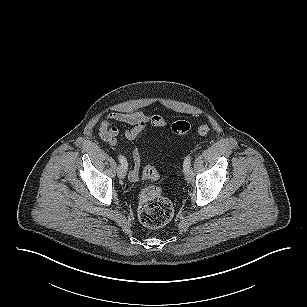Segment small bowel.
<instances>
[{
	"mask_svg": "<svg viewBox=\"0 0 307 307\" xmlns=\"http://www.w3.org/2000/svg\"><path fill=\"white\" fill-rule=\"evenodd\" d=\"M126 124L130 128L124 131L127 140L136 139L146 128L148 124L155 128H164L166 120L158 114H147L143 111L127 112V113H111L100 124V138L110 146L118 145L119 128L115 124ZM141 166V151L135 148L133 151V167L129 170L128 178L135 182L139 178Z\"/></svg>",
	"mask_w": 307,
	"mask_h": 307,
	"instance_id": "obj_1",
	"label": "small bowel"
}]
</instances>
